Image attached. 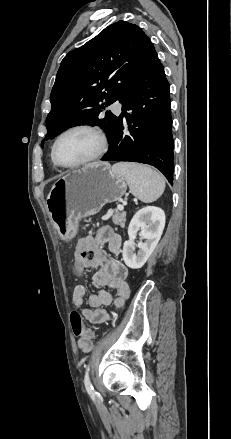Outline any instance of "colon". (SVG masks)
I'll return each instance as SVG.
<instances>
[{
    "instance_id": "obj_1",
    "label": "colon",
    "mask_w": 231,
    "mask_h": 439,
    "mask_svg": "<svg viewBox=\"0 0 231 439\" xmlns=\"http://www.w3.org/2000/svg\"><path fill=\"white\" fill-rule=\"evenodd\" d=\"M72 269L75 270L76 272L75 275L77 277L80 275L79 273L86 272V265L83 264V259L81 257L75 258V260L72 262ZM76 283H83V282H76ZM70 324L75 336L84 338L86 340L93 339L94 337L93 331L91 329L84 327L81 315L77 311L71 312Z\"/></svg>"
}]
</instances>
